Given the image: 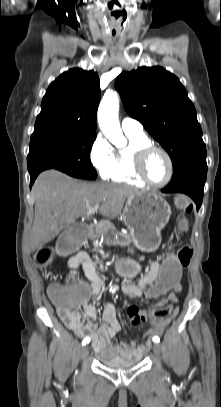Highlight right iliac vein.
<instances>
[{
	"instance_id": "obj_1",
	"label": "right iliac vein",
	"mask_w": 221,
	"mask_h": 407,
	"mask_svg": "<svg viewBox=\"0 0 221 407\" xmlns=\"http://www.w3.org/2000/svg\"><path fill=\"white\" fill-rule=\"evenodd\" d=\"M89 356V347L88 345H84L81 349V357L83 360H86Z\"/></svg>"
}]
</instances>
